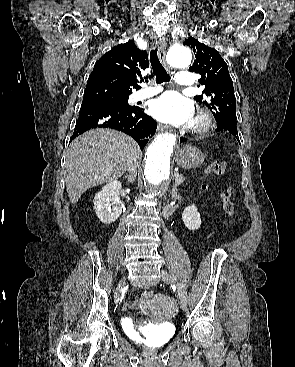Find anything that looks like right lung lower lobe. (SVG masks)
Returning a JSON list of instances; mask_svg holds the SVG:
<instances>
[{
    "mask_svg": "<svg viewBox=\"0 0 295 367\" xmlns=\"http://www.w3.org/2000/svg\"><path fill=\"white\" fill-rule=\"evenodd\" d=\"M156 127V121L144 114V109L139 106L85 105L80 108L70 141L93 128H111L130 135L143 149L148 137L155 134Z\"/></svg>",
    "mask_w": 295,
    "mask_h": 367,
    "instance_id": "1",
    "label": "right lung lower lobe"
}]
</instances>
